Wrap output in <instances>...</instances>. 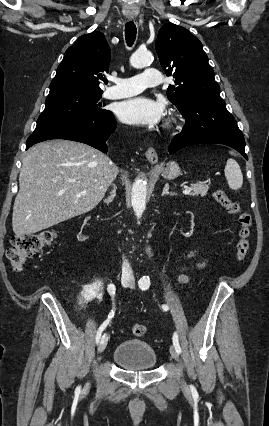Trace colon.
<instances>
[{
  "label": "colon",
  "instance_id": "colon-1",
  "mask_svg": "<svg viewBox=\"0 0 269 426\" xmlns=\"http://www.w3.org/2000/svg\"><path fill=\"white\" fill-rule=\"evenodd\" d=\"M213 198L228 213L238 216L240 228L236 244V257L239 261H243L249 250L252 216L249 212L243 210L237 201L229 198L222 189L215 190ZM54 239L55 232L53 230H42L36 233L13 236L11 247L6 253L10 265L14 270L21 271L28 258L39 253L51 244ZM131 331L135 336H143L146 332V327L143 324L136 323L132 325Z\"/></svg>",
  "mask_w": 269,
  "mask_h": 426
}]
</instances>
